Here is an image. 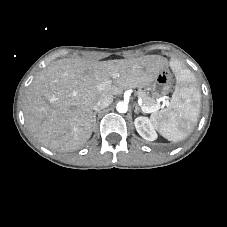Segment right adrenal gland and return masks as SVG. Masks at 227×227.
Wrapping results in <instances>:
<instances>
[{"instance_id": "1", "label": "right adrenal gland", "mask_w": 227, "mask_h": 227, "mask_svg": "<svg viewBox=\"0 0 227 227\" xmlns=\"http://www.w3.org/2000/svg\"><path fill=\"white\" fill-rule=\"evenodd\" d=\"M97 113H99V111H95L94 114H93L94 115V125L96 124V114Z\"/></svg>"}]
</instances>
